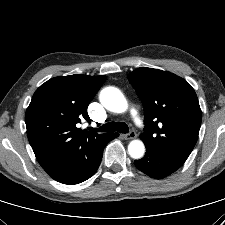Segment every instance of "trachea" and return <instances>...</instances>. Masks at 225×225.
Masks as SVG:
<instances>
[{
    "label": "trachea",
    "instance_id": "1",
    "mask_svg": "<svg viewBox=\"0 0 225 225\" xmlns=\"http://www.w3.org/2000/svg\"><path fill=\"white\" fill-rule=\"evenodd\" d=\"M98 132H114L128 133V125L124 122H109L97 129Z\"/></svg>",
    "mask_w": 225,
    "mask_h": 225
}]
</instances>
